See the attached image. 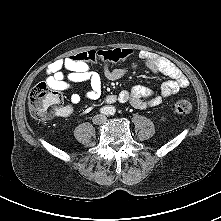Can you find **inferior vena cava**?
Wrapping results in <instances>:
<instances>
[{
    "label": "inferior vena cava",
    "instance_id": "1",
    "mask_svg": "<svg viewBox=\"0 0 221 221\" xmlns=\"http://www.w3.org/2000/svg\"><path fill=\"white\" fill-rule=\"evenodd\" d=\"M106 120H107V118L103 114H98L93 117V123H95V124L104 123Z\"/></svg>",
    "mask_w": 221,
    "mask_h": 221
}]
</instances>
